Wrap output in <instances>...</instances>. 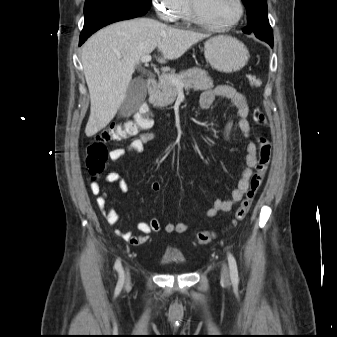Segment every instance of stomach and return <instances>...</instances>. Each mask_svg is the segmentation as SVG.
<instances>
[{
	"mask_svg": "<svg viewBox=\"0 0 337 337\" xmlns=\"http://www.w3.org/2000/svg\"><path fill=\"white\" fill-rule=\"evenodd\" d=\"M204 53L210 65L224 73L239 71L249 59V51L242 42L224 35L207 40Z\"/></svg>",
	"mask_w": 337,
	"mask_h": 337,
	"instance_id": "1",
	"label": "stomach"
}]
</instances>
